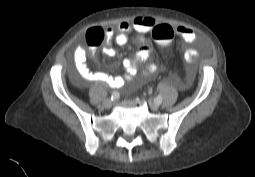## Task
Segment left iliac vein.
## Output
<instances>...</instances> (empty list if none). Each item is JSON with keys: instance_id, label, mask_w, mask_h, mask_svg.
<instances>
[{"instance_id": "left-iliac-vein-1", "label": "left iliac vein", "mask_w": 255, "mask_h": 177, "mask_svg": "<svg viewBox=\"0 0 255 177\" xmlns=\"http://www.w3.org/2000/svg\"><path fill=\"white\" fill-rule=\"evenodd\" d=\"M148 104L153 111H157L159 109V104L154 101L148 100Z\"/></svg>"}]
</instances>
